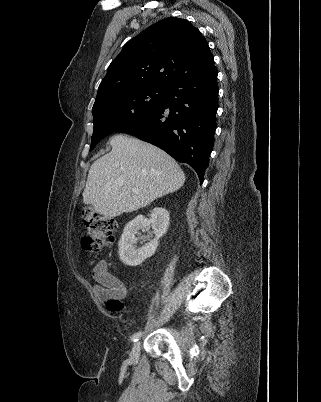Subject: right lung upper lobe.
Listing matches in <instances>:
<instances>
[{
	"label": "right lung upper lobe",
	"mask_w": 321,
	"mask_h": 402,
	"mask_svg": "<svg viewBox=\"0 0 321 402\" xmlns=\"http://www.w3.org/2000/svg\"><path fill=\"white\" fill-rule=\"evenodd\" d=\"M214 63L207 42L189 21L165 18L128 41L109 65L95 103L175 80Z\"/></svg>",
	"instance_id": "1"
}]
</instances>
